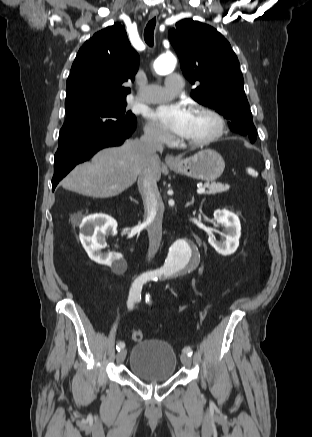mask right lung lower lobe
Listing matches in <instances>:
<instances>
[{
  "label": "right lung lower lobe",
  "mask_w": 312,
  "mask_h": 437,
  "mask_svg": "<svg viewBox=\"0 0 312 437\" xmlns=\"http://www.w3.org/2000/svg\"><path fill=\"white\" fill-rule=\"evenodd\" d=\"M136 124L129 128L91 136L66 147H58L54 157V176L52 189L65 177L77 164L92 157L97 151L105 147L118 146L131 136Z\"/></svg>",
  "instance_id": "right-lung-lower-lobe-1"
}]
</instances>
